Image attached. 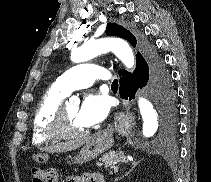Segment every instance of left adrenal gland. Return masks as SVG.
<instances>
[{"mask_svg":"<svg viewBox=\"0 0 211 182\" xmlns=\"http://www.w3.org/2000/svg\"><path fill=\"white\" fill-rule=\"evenodd\" d=\"M138 163H139V161L138 162H133L132 163V165H133L132 168L125 175H123L122 177L116 179V181H118V180L124 178L125 176H127L138 165Z\"/></svg>","mask_w":211,"mask_h":182,"instance_id":"1","label":"left adrenal gland"}]
</instances>
